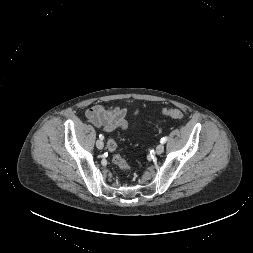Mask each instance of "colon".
<instances>
[{"label":"colon","mask_w":253,"mask_h":253,"mask_svg":"<svg viewBox=\"0 0 253 253\" xmlns=\"http://www.w3.org/2000/svg\"><path fill=\"white\" fill-rule=\"evenodd\" d=\"M164 115L170 116L174 119H182L184 117L183 113L179 109L175 108H165L162 110ZM107 148L112 153L113 163L120 169L126 172L132 170V167L128 162L118 153L117 143L114 139H109L107 141Z\"/></svg>","instance_id":"5ec220e1"}]
</instances>
